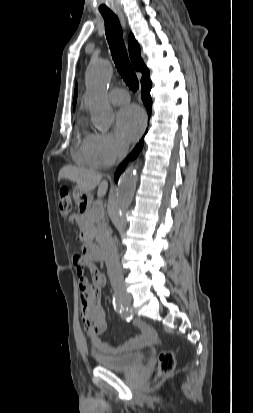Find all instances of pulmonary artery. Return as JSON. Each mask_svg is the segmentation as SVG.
<instances>
[{
  "mask_svg": "<svg viewBox=\"0 0 253 413\" xmlns=\"http://www.w3.org/2000/svg\"><path fill=\"white\" fill-rule=\"evenodd\" d=\"M109 101L114 105H122L129 101V95L124 89L116 88L109 93Z\"/></svg>",
  "mask_w": 253,
  "mask_h": 413,
  "instance_id": "obj_1",
  "label": "pulmonary artery"
}]
</instances>
